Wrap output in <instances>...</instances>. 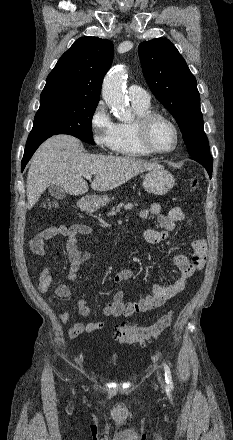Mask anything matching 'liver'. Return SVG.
Here are the masks:
<instances>
[{
  "mask_svg": "<svg viewBox=\"0 0 233 440\" xmlns=\"http://www.w3.org/2000/svg\"><path fill=\"white\" fill-rule=\"evenodd\" d=\"M158 167L160 165L155 162L131 157L87 154L77 138L55 135L45 141L31 159L26 181L27 207L32 209L50 185L60 186L71 195L87 193L85 174L94 175L93 190L108 191L141 172Z\"/></svg>",
  "mask_w": 233,
  "mask_h": 440,
  "instance_id": "1",
  "label": "liver"
}]
</instances>
